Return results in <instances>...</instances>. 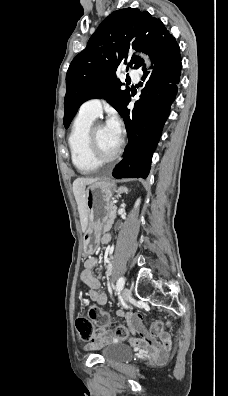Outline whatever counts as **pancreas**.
Returning a JSON list of instances; mask_svg holds the SVG:
<instances>
[{
  "label": "pancreas",
  "mask_w": 228,
  "mask_h": 396,
  "mask_svg": "<svg viewBox=\"0 0 228 396\" xmlns=\"http://www.w3.org/2000/svg\"><path fill=\"white\" fill-rule=\"evenodd\" d=\"M115 210H116L115 205H114L113 203H111V208L109 209V212H110V213H114ZM114 219H115V216H114V215H110V216H109L108 222L105 223V229L102 231V234H103V235H106V234L109 232V229H110L111 224L114 223Z\"/></svg>",
  "instance_id": "1"
}]
</instances>
